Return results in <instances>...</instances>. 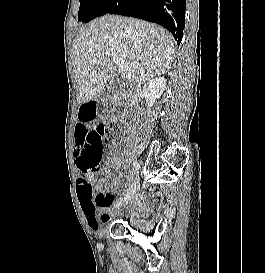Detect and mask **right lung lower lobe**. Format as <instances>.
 <instances>
[{"instance_id":"1","label":"right lung lower lobe","mask_w":265,"mask_h":273,"mask_svg":"<svg viewBox=\"0 0 265 273\" xmlns=\"http://www.w3.org/2000/svg\"><path fill=\"white\" fill-rule=\"evenodd\" d=\"M185 4L186 0H117L108 13L157 23L169 30L179 45L185 27Z\"/></svg>"}]
</instances>
